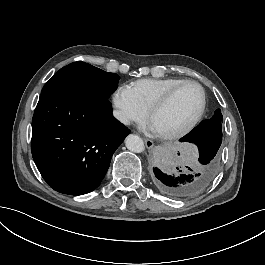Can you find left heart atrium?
<instances>
[{
  "label": "left heart atrium",
  "instance_id": "obj_1",
  "mask_svg": "<svg viewBox=\"0 0 265 265\" xmlns=\"http://www.w3.org/2000/svg\"><path fill=\"white\" fill-rule=\"evenodd\" d=\"M149 130H150L151 132L157 134L155 128H154L151 124L149 125Z\"/></svg>",
  "mask_w": 265,
  "mask_h": 265
}]
</instances>
